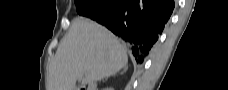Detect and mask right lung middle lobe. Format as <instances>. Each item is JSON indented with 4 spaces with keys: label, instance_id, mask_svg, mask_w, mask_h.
I'll use <instances>...</instances> for the list:
<instances>
[{
    "label": "right lung middle lobe",
    "instance_id": "right-lung-middle-lobe-1",
    "mask_svg": "<svg viewBox=\"0 0 228 90\" xmlns=\"http://www.w3.org/2000/svg\"><path fill=\"white\" fill-rule=\"evenodd\" d=\"M106 0H75L78 14L86 17L99 15L105 7Z\"/></svg>",
    "mask_w": 228,
    "mask_h": 90
}]
</instances>
